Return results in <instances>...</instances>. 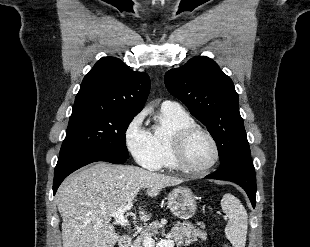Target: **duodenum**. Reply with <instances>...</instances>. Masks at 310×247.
<instances>
[{
  "label": "duodenum",
  "instance_id": "1",
  "mask_svg": "<svg viewBox=\"0 0 310 247\" xmlns=\"http://www.w3.org/2000/svg\"><path fill=\"white\" fill-rule=\"evenodd\" d=\"M131 239L128 235H123L120 237L118 246L119 247H130Z\"/></svg>",
  "mask_w": 310,
  "mask_h": 247
}]
</instances>
